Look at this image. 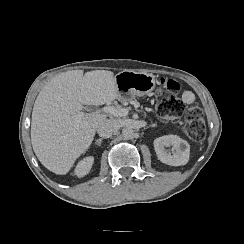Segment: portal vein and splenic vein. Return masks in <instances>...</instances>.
<instances>
[{
  "label": "portal vein and splenic vein",
  "instance_id": "18ae733b",
  "mask_svg": "<svg viewBox=\"0 0 244 244\" xmlns=\"http://www.w3.org/2000/svg\"><path fill=\"white\" fill-rule=\"evenodd\" d=\"M107 113L109 115L115 116V117H125L128 112L126 108H116L114 106H104L100 108L99 110L94 111V113ZM86 115L84 111L78 112L77 114L72 116V119L74 121V124L77 126L79 125L81 119Z\"/></svg>",
  "mask_w": 244,
  "mask_h": 244
}]
</instances>
